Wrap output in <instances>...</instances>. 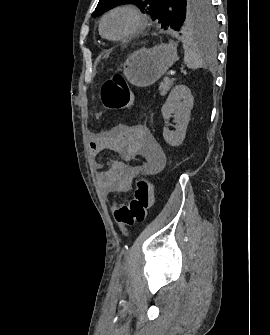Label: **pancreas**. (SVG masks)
<instances>
[{"label":"pancreas","mask_w":270,"mask_h":335,"mask_svg":"<svg viewBox=\"0 0 270 335\" xmlns=\"http://www.w3.org/2000/svg\"><path fill=\"white\" fill-rule=\"evenodd\" d=\"M172 82H174L173 78H172V80H170V78H164L163 82H161V84L159 86L160 96H165V94H167V92H169V90L172 86Z\"/></svg>","instance_id":"cf45deb5"}]
</instances>
